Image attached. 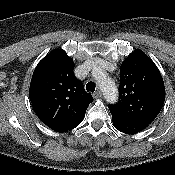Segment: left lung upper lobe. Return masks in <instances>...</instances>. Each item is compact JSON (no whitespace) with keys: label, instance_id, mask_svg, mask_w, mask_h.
I'll return each instance as SVG.
<instances>
[{"label":"left lung upper lobe","instance_id":"5c2ea615","mask_svg":"<svg viewBox=\"0 0 175 175\" xmlns=\"http://www.w3.org/2000/svg\"><path fill=\"white\" fill-rule=\"evenodd\" d=\"M119 101L108 108L112 115L152 122L165 101L163 78L154 62L135 50L120 68Z\"/></svg>","mask_w":175,"mask_h":175}]
</instances>
